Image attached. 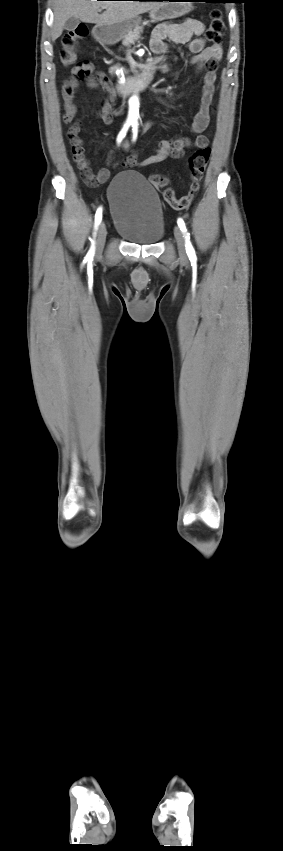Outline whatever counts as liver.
<instances>
[{
  "label": "liver",
  "instance_id": "liver-1",
  "mask_svg": "<svg viewBox=\"0 0 283 851\" xmlns=\"http://www.w3.org/2000/svg\"><path fill=\"white\" fill-rule=\"evenodd\" d=\"M157 1H98V0H55L52 41L61 36L70 17L86 23L115 24L159 7ZM106 9L101 15L99 8Z\"/></svg>",
  "mask_w": 283,
  "mask_h": 851
}]
</instances>
